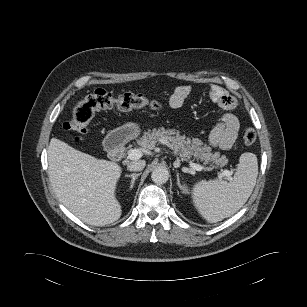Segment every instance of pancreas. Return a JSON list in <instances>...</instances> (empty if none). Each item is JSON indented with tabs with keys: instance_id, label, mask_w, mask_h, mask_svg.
<instances>
[{
	"instance_id": "1",
	"label": "pancreas",
	"mask_w": 307,
	"mask_h": 307,
	"mask_svg": "<svg viewBox=\"0 0 307 307\" xmlns=\"http://www.w3.org/2000/svg\"><path fill=\"white\" fill-rule=\"evenodd\" d=\"M158 142L172 149L174 155L182 161L188 162L194 158L205 165L210 164L211 169L224 167L228 163L225 155H221L220 152L212 153V148L200 139L180 135L175 129L154 128L152 131L145 132L137 141L138 145L144 149H154Z\"/></svg>"
}]
</instances>
